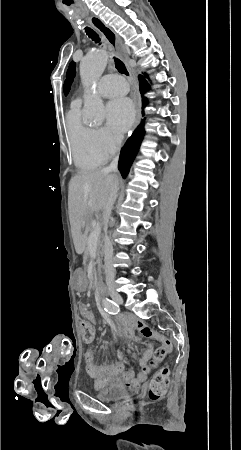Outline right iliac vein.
Listing matches in <instances>:
<instances>
[{"mask_svg":"<svg viewBox=\"0 0 241 450\" xmlns=\"http://www.w3.org/2000/svg\"><path fill=\"white\" fill-rule=\"evenodd\" d=\"M111 297L112 299L117 302L118 304H122L123 303V299L121 298L120 294L117 292H111Z\"/></svg>","mask_w":241,"mask_h":450,"instance_id":"63e3f726","label":"right iliac vein"}]
</instances>
